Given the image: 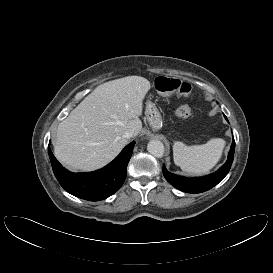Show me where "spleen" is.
<instances>
[{"instance_id":"3e777b00","label":"spleen","mask_w":273,"mask_h":273,"mask_svg":"<svg viewBox=\"0 0 273 273\" xmlns=\"http://www.w3.org/2000/svg\"><path fill=\"white\" fill-rule=\"evenodd\" d=\"M225 141L210 139L206 144L187 146L182 142L173 145V158L177 166L189 174L208 173L220 160Z\"/></svg>"}]
</instances>
